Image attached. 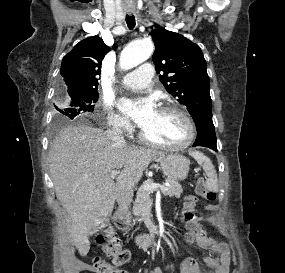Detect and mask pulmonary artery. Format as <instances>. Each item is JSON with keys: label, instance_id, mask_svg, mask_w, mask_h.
Instances as JSON below:
<instances>
[{"label": "pulmonary artery", "instance_id": "1", "mask_svg": "<svg viewBox=\"0 0 285 273\" xmlns=\"http://www.w3.org/2000/svg\"><path fill=\"white\" fill-rule=\"evenodd\" d=\"M154 69L150 63L141 64L134 71L127 73L123 79L122 84L130 89H143L150 85Z\"/></svg>", "mask_w": 285, "mask_h": 273}]
</instances>
